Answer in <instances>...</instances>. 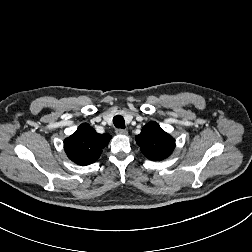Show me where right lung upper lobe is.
<instances>
[{"label": "right lung upper lobe", "mask_w": 252, "mask_h": 252, "mask_svg": "<svg viewBox=\"0 0 252 252\" xmlns=\"http://www.w3.org/2000/svg\"><path fill=\"white\" fill-rule=\"evenodd\" d=\"M111 135L99 134L89 124H81L76 132L64 141V149L69 159L78 165H89L101 155L109 143Z\"/></svg>", "instance_id": "1"}]
</instances>
